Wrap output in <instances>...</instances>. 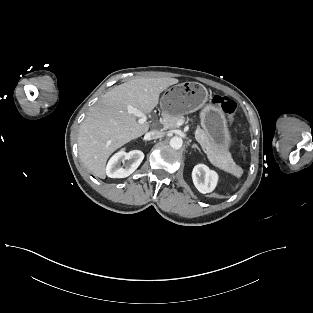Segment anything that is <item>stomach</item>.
<instances>
[{
	"label": "stomach",
	"instance_id": "0dacf381",
	"mask_svg": "<svg viewBox=\"0 0 313 313\" xmlns=\"http://www.w3.org/2000/svg\"><path fill=\"white\" fill-rule=\"evenodd\" d=\"M208 91L198 82L177 84L163 94L161 109L169 115H185L201 110L200 118L205 134L222 151L229 150L230 132L225 115L219 107L207 104Z\"/></svg>",
	"mask_w": 313,
	"mask_h": 313
}]
</instances>
